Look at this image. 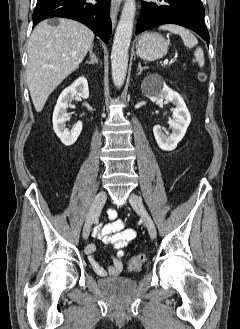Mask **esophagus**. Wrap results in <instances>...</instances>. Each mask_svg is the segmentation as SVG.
Listing matches in <instances>:
<instances>
[{
	"mask_svg": "<svg viewBox=\"0 0 240 329\" xmlns=\"http://www.w3.org/2000/svg\"><path fill=\"white\" fill-rule=\"evenodd\" d=\"M119 7H120V0H111L110 17L113 27L116 25L117 22Z\"/></svg>",
	"mask_w": 240,
	"mask_h": 329,
	"instance_id": "obj_1",
	"label": "esophagus"
}]
</instances>
